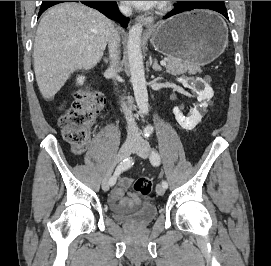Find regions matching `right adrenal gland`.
<instances>
[{
  "mask_svg": "<svg viewBox=\"0 0 271 266\" xmlns=\"http://www.w3.org/2000/svg\"><path fill=\"white\" fill-rule=\"evenodd\" d=\"M104 62H105V63H108V60L105 58V59H104Z\"/></svg>",
  "mask_w": 271,
  "mask_h": 266,
  "instance_id": "2a0ac1e0",
  "label": "right adrenal gland"
}]
</instances>
